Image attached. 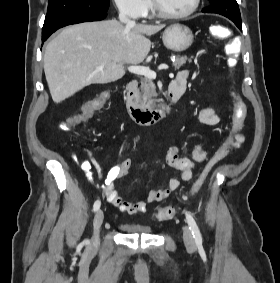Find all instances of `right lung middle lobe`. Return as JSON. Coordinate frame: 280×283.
Wrapping results in <instances>:
<instances>
[{"label":"right lung middle lobe","instance_id":"dd1d6c3e","mask_svg":"<svg viewBox=\"0 0 280 283\" xmlns=\"http://www.w3.org/2000/svg\"><path fill=\"white\" fill-rule=\"evenodd\" d=\"M109 0H49L46 18L63 14L103 15Z\"/></svg>","mask_w":280,"mask_h":283}]
</instances>
